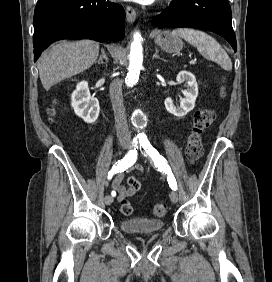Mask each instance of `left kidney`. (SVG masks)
<instances>
[{
    "label": "left kidney",
    "instance_id": "left-kidney-1",
    "mask_svg": "<svg viewBox=\"0 0 272 282\" xmlns=\"http://www.w3.org/2000/svg\"><path fill=\"white\" fill-rule=\"evenodd\" d=\"M176 80L177 83L185 82L187 84V89L183 92L185 98L181 100L179 107L174 106L173 100L170 97L165 99L164 104L169 113L180 118L193 110L198 96V85L195 76L189 71H180Z\"/></svg>",
    "mask_w": 272,
    "mask_h": 282
}]
</instances>
